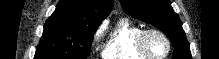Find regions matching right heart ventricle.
<instances>
[{
    "instance_id": "obj_1",
    "label": "right heart ventricle",
    "mask_w": 219,
    "mask_h": 59,
    "mask_svg": "<svg viewBox=\"0 0 219 59\" xmlns=\"http://www.w3.org/2000/svg\"><path fill=\"white\" fill-rule=\"evenodd\" d=\"M143 28L127 17H121L108 35L102 51L104 59H149L137 46Z\"/></svg>"
}]
</instances>
